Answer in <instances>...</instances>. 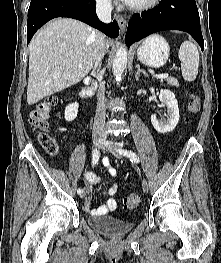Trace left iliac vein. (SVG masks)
I'll return each mask as SVG.
<instances>
[{
  "label": "left iliac vein",
  "instance_id": "obj_1",
  "mask_svg": "<svg viewBox=\"0 0 221 263\" xmlns=\"http://www.w3.org/2000/svg\"><path fill=\"white\" fill-rule=\"evenodd\" d=\"M101 147L104 149V150H107V151H110V152H113L117 157H121V155L119 153H117L116 151L113 150V148L111 147L110 143L104 139V142L103 144L101 145ZM142 189L145 193L148 192V182L146 179H143L142 180Z\"/></svg>",
  "mask_w": 221,
  "mask_h": 263
}]
</instances>
